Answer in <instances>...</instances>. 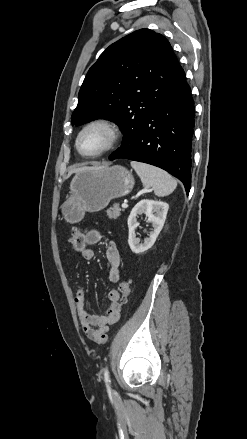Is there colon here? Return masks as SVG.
Instances as JSON below:
<instances>
[{
  "mask_svg": "<svg viewBox=\"0 0 247 439\" xmlns=\"http://www.w3.org/2000/svg\"><path fill=\"white\" fill-rule=\"evenodd\" d=\"M71 242L76 252H82L85 247V232L81 228H75L71 232ZM131 280L125 279L119 285V292L121 293V301L125 302L130 293Z\"/></svg>",
  "mask_w": 247,
  "mask_h": 439,
  "instance_id": "obj_1",
  "label": "colon"
}]
</instances>
